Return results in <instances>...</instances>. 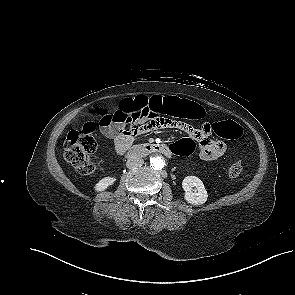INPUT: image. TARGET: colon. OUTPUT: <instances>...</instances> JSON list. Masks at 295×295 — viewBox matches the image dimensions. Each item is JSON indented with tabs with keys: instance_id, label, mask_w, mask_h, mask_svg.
<instances>
[{
	"instance_id": "5ec220e1",
	"label": "colon",
	"mask_w": 295,
	"mask_h": 295,
	"mask_svg": "<svg viewBox=\"0 0 295 295\" xmlns=\"http://www.w3.org/2000/svg\"><path fill=\"white\" fill-rule=\"evenodd\" d=\"M164 109L167 115L184 118L188 120H200L205 116V110L199 104L176 97H170L166 101L159 98L137 97L121 103L119 109L115 111L101 110L96 114L100 120L113 119L121 113L138 114L141 112L158 111ZM164 118V117H160ZM95 129L93 122H87L81 131H71L68 133L64 143V156L66 161L80 174L91 175L95 172V164L91 158L97 147V143L92 135ZM212 130L225 139H238L242 135V128L232 120H224L215 123ZM195 149L194 142L190 139H183L170 142L167 150L170 153H177L185 157L193 155ZM243 170L240 162L233 163L228 169L230 178H237Z\"/></svg>"
}]
</instances>
